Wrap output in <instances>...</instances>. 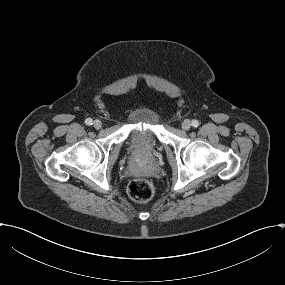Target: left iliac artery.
<instances>
[{
    "label": "left iliac artery",
    "mask_w": 285,
    "mask_h": 285,
    "mask_svg": "<svg viewBox=\"0 0 285 285\" xmlns=\"http://www.w3.org/2000/svg\"><path fill=\"white\" fill-rule=\"evenodd\" d=\"M192 126L193 127H198L199 126V121L198 120H192Z\"/></svg>",
    "instance_id": "left-iliac-artery-1"
}]
</instances>
